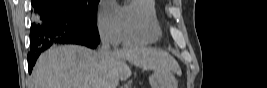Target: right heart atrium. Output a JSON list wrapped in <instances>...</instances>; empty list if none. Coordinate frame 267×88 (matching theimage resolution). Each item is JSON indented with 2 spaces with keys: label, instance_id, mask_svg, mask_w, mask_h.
<instances>
[{
  "label": "right heart atrium",
  "instance_id": "1",
  "mask_svg": "<svg viewBox=\"0 0 267 88\" xmlns=\"http://www.w3.org/2000/svg\"><path fill=\"white\" fill-rule=\"evenodd\" d=\"M122 9L113 1H105L98 12V30L100 35L111 44L117 45L123 39Z\"/></svg>",
  "mask_w": 267,
  "mask_h": 88
}]
</instances>
